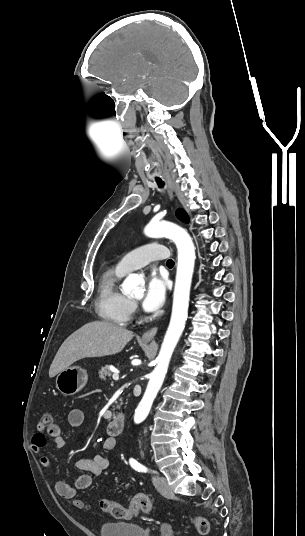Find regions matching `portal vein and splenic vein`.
<instances>
[{
	"instance_id": "portal-vein-and-splenic-vein-1",
	"label": "portal vein and splenic vein",
	"mask_w": 305,
	"mask_h": 536,
	"mask_svg": "<svg viewBox=\"0 0 305 536\" xmlns=\"http://www.w3.org/2000/svg\"><path fill=\"white\" fill-rule=\"evenodd\" d=\"M112 378H113V380H119V372H118V370H115Z\"/></svg>"
}]
</instances>
